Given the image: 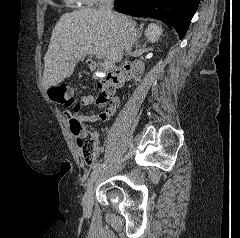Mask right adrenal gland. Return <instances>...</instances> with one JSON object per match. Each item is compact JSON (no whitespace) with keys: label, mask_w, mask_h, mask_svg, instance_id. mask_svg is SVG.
<instances>
[{"label":"right adrenal gland","mask_w":240,"mask_h":238,"mask_svg":"<svg viewBox=\"0 0 240 238\" xmlns=\"http://www.w3.org/2000/svg\"><path fill=\"white\" fill-rule=\"evenodd\" d=\"M142 28H143V25H140V27L136 31V39H135V45L136 46H138L139 39L142 35Z\"/></svg>","instance_id":"1"}]
</instances>
